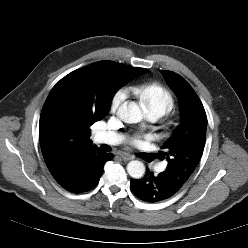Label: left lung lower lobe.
Returning a JSON list of instances; mask_svg holds the SVG:
<instances>
[{
  "instance_id": "0a47b994",
  "label": "left lung lower lobe",
  "mask_w": 248,
  "mask_h": 248,
  "mask_svg": "<svg viewBox=\"0 0 248 248\" xmlns=\"http://www.w3.org/2000/svg\"><path fill=\"white\" fill-rule=\"evenodd\" d=\"M130 189L142 201L155 203L172 197L179 187L165 172L154 176L148 169L142 179H131Z\"/></svg>"
}]
</instances>
